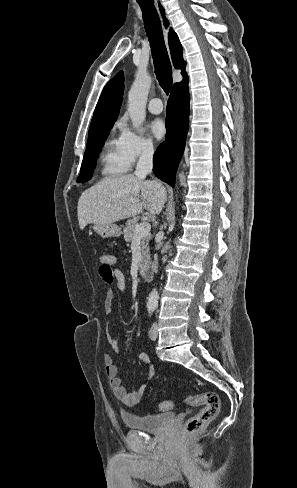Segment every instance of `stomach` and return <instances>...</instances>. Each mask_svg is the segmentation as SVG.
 <instances>
[{
    "instance_id": "1",
    "label": "stomach",
    "mask_w": 297,
    "mask_h": 488,
    "mask_svg": "<svg viewBox=\"0 0 297 488\" xmlns=\"http://www.w3.org/2000/svg\"><path fill=\"white\" fill-rule=\"evenodd\" d=\"M103 238L119 237L121 235V228L116 224H94L93 227Z\"/></svg>"
}]
</instances>
